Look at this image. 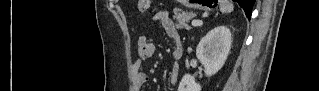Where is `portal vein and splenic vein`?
<instances>
[{
	"label": "portal vein and splenic vein",
	"instance_id": "18ae733b",
	"mask_svg": "<svg viewBox=\"0 0 319 91\" xmlns=\"http://www.w3.org/2000/svg\"><path fill=\"white\" fill-rule=\"evenodd\" d=\"M192 26L196 27V26H201L203 24L202 21H199V20H193L191 22Z\"/></svg>",
	"mask_w": 319,
	"mask_h": 91
}]
</instances>
